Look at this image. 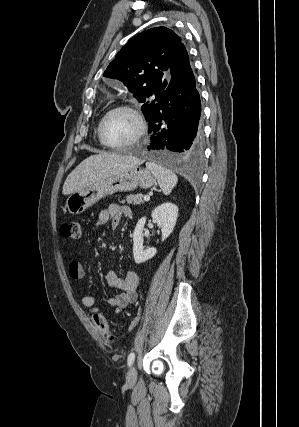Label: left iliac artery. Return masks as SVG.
Masks as SVG:
<instances>
[{"mask_svg":"<svg viewBox=\"0 0 299 427\" xmlns=\"http://www.w3.org/2000/svg\"><path fill=\"white\" fill-rule=\"evenodd\" d=\"M134 360H135V354L132 352L129 354L127 359V364L129 367L133 364Z\"/></svg>","mask_w":299,"mask_h":427,"instance_id":"1","label":"left iliac artery"}]
</instances>
